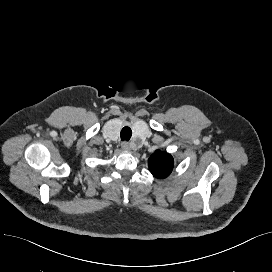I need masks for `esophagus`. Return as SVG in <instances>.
<instances>
[{"label":"esophagus","instance_id":"1","mask_svg":"<svg viewBox=\"0 0 272 272\" xmlns=\"http://www.w3.org/2000/svg\"><path fill=\"white\" fill-rule=\"evenodd\" d=\"M121 148H122V150H124V151H128V150H130V144H129L128 142H123V143L121 144Z\"/></svg>","mask_w":272,"mask_h":272}]
</instances>
